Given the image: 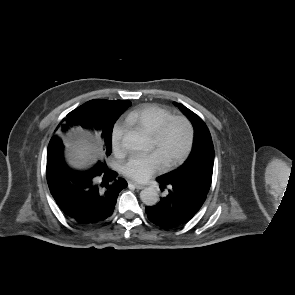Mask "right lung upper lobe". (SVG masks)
Returning <instances> with one entry per match:
<instances>
[{"mask_svg":"<svg viewBox=\"0 0 295 295\" xmlns=\"http://www.w3.org/2000/svg\"><path fill=\"white\" fill-rule=\"evenodd\" d=\"M121 101L122 100L110 101V100L94 99V100H91V101L85 103V105L95 107V109L93 110V113H95L97 116L102 113L115 112ZM71 117H72V112H70L67 115L66 123L62 125L63 131H65L68 128V126L75 125V123L72 121ZM82 127L85 129H88V130H93L92 124L89 125L88 127H84V126H82ZM52 138L59 139L58 135H55Z\"/></svg>","mask_w":295,"mask_h":295,"instance_id":"1","label":"right lung upper lobe"}]
</instances>
